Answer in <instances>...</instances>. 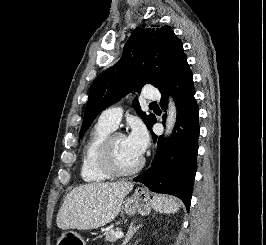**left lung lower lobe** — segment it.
Returning <instances> with one entry per match:
<instances>
[{
  "instance_id": "1",
  "label": "left lung lower lobe",
  "mask_w": 266,
  "mask_h": 245,
  "mask_svg": "<svg viewBox=\"0 0 266 245\" xmlns=\"http://www.w3.org/2000/svg\"><path fill=\"white\" fill-rule=\"evenodd\" d=\"M192 72L187 59L181 60L168 83L159 90L162 95L160 105L167 108V94L172 92L177 107V121L169 140L160 136L157 152L151 167L134 181L144 183L150 190L158 193L179 197L189 211L192 188L197 170V153L199 137V109L194 98L195 90ZM157 122L152 120L149 130L154 142L157 136L152 132V126Z\"/></svg>"
}]
</instances>
